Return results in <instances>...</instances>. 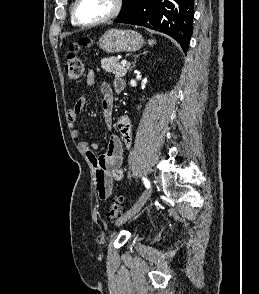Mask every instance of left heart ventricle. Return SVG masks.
<instances>
[{"label": "left heart ventricle", "instance_id": "b2bd125f", "mask_svg": "<svg viewBox=\"0 0 259 294\" xmlns=\"http://www.w3.org/2000/svg\"><path fill=\"white\" fill-rule=\"evenodd\" d=\"M112 8V0H81L77 7V16L81 22L90 23L106 16Z\"/></svg>", "mask_w": 259, "mask_h": 294}]
</instances>
